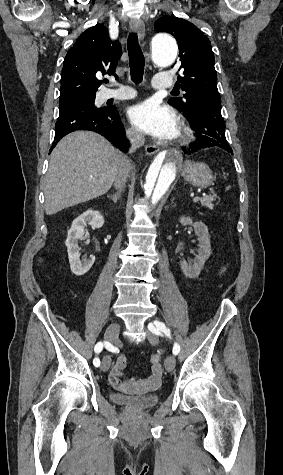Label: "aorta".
Instances as JSON below:
<instances>
[{"instance_id": "762f6f07", "label": "aorta", "mask_w": 283, "mask_h": 475, "mask_svg": "<svg viewBox=\"0 0 283 475\" xmlns=\"http://www.w3.org/2000/svg\"><path fill=\"white\" fill-rule=\"evenodd\" d=\"M151 47L155 62L160 67L171 65L177 57V43L168 34L155 35L152 38ZM182 162V154L176 149L162 151L155 157L148 169L142 188L139 219L148 222L151 216L159 213L161 205L180 171Z\"/></svg>"}]
</instances>
